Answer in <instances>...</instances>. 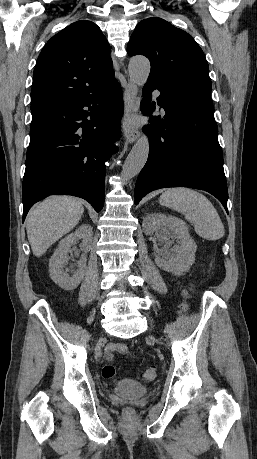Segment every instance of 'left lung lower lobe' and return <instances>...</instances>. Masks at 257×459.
<instances>
[{
    "mask_svg": "<svg viewBox=\"0 0 257 459\" xmlns=\"http://www.w3.org/2000/svg\"><path fill=\"white\" fill-rule=\"evenodd\" d=\"M153 89L161 92L157 103L166 114L151 117V125L144 128L150 152L136 181L135 204L159 188L191 187L214 195L228 212L211 90L160 88L146 83L140 105L144 115L155 110V102H150Z\"/></svg>",
    "mask_w": 257,
    "mask_h": 459,
    "instance_id": "obj_1",
    "label": "left lung lower lobe"
}]
</instances>
